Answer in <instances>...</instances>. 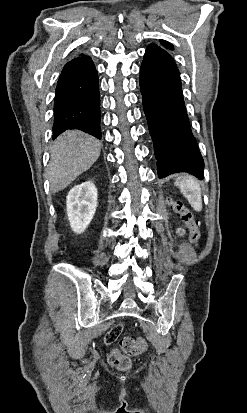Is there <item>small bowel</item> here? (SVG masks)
<instances>
[{
	"mask_svg": "<svg viewBox=\"0 0 247 413\" xmlns=\"http://www.w3.org/2000/svg\"><path fill=\"white\" fill-rule=\"evenodd\" d=\"M184 229L179 228L177 230L178 235H183L184 234ZM125 329V324L123 322H118L116 324V329H109L107 331V334L104 335L103 340L105 343H112L114 338H117L119 336V331H123Z\"/></svg>",
	"mask_w": 247,
	"mask_h": 413,
	"instance_id": "c3829d8e",
	"label": "small bowel"
}]
</instances>
